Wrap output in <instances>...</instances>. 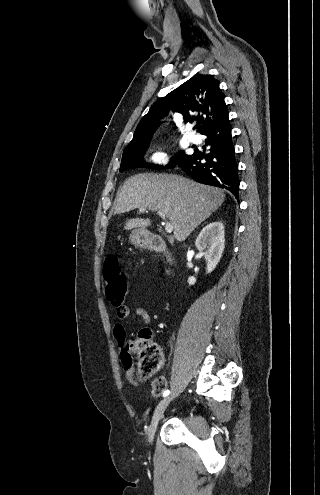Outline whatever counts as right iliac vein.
Listing matches in <instances>:
<instances>
[{
	"label": "right iliac vein",
	"mask_w": 320,
	"mask_h": 495,
	"mask_svg": "<svg viewBox=\"0 0 320 495\" xmlns=\"http://www.w3.org/2000/svg\"><path fill=\"white\" fill-rule=\"evenodd\" d=\"M171 400H172V397L168 396V397L164 398L163 400H161L159 402V404L157 405V407L155 408V411H154V414L152 417V421H151V425H150L149 430H148V440L150 443H152V441L154 439L157 425H158L160 419L162 418L163 413L165 412L166 408L170 404Z\"/></svg>",
	"instance_id": "1"
}]
</instances>
